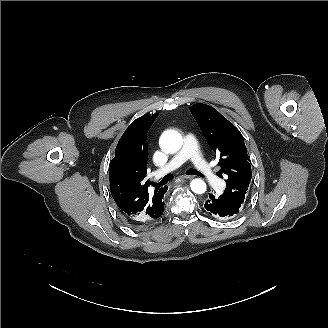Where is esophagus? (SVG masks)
<instances>
[{"mask_svg": "<svg viewBox=\"0 0 328 328\" xmlns=\"http://www.w3.org/2000/svg\"><path fill=\"white\" fill-rule=\"evenodd\" d=\"M192 178V176H190V175H181V176H179V179H191Z\"/></svg>", "mask_w": 328, "mask_h": 328, "instance_id": "1", "label": "esophagus"}]
</instances>
